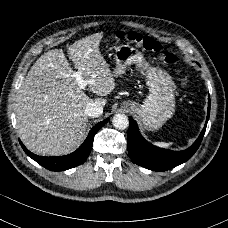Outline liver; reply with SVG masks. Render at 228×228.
Masks as SVG:
<instances>
[{"mask_svg": "<svg viewBox=\"0 0 228 228\" xmlns=\"http://www.w3.org/2000/svg\"><path fill=\"white\" fill-rule=\"evenodd\" d=\"M102 33H95L68 47L69 58L88 90L106 96L115 88L113 74L99 51ZM62 50L41 55L29 70L16 98L18 133L24 145L43 156L66 155L75 151L86 136L88 118L84 110L93 102L79 88ZM100 106L106 99L97 98Z\"/></svg>", "mask_w": 228, "mask_h": 228, "instance_id": "1", "label": "liver"}]
</instances>
